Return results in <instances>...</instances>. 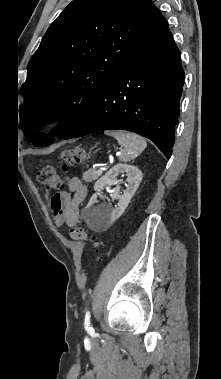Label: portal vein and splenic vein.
Segmentation results:
<instances>
[{
    "label": "portal vein and splenic vein",
    "mask_w": 221,
    "mask_h": 379,
    "mask_svg": "<svg viewBox=\"0 0 221 379\" xmlns=\"http://www.w3.org/2000/svg\"><path fill=\"white\" fill-rule=\"evenodd\" d=\"M104 170V167H100L99 169H98V171H103Z\"/></svg>",
    "instance_id": "1"
}]
</instances>
